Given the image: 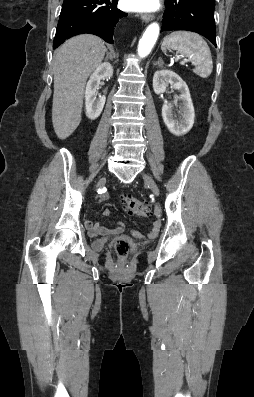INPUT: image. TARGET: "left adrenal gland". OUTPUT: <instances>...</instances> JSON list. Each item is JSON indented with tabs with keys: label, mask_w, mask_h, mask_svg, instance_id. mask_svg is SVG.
<instances>
[{
	"label": "left adrenal gland",
	"mask_w": 254,
	"mask_h": 397,
	"mask_svg": "<svg viewBox=\"0 0 254 397\" xmlns=\"http://www.w3.org/2000/svg\"><path fill=\"white\" fill-rule=\"evenodd\" d=\"M153 65H158L159 67H162L163 63H162V59L161 57L158 58V61L154 62Z\"/></svg>",
	"instance_id": "a2214340"
}]
</instances>
